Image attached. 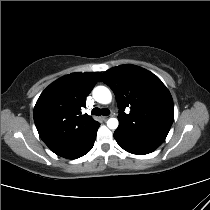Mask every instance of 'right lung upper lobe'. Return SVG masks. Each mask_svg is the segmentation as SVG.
<instances>
[{"instance_id": "right-lung-upper-lobe-1", "label": "right lung upper lobe", "mask_w": 210, "mask_h": 210, "mask_svg": "<svg viewBox=\"0 0 210 210\" xmlns=\"http://www.w3.org/2000/svg\"><path fill=\"white\" fill-rule=\"evenodd\" d=\"M100 73H72L51 83L34 107V122L44 143L57 155L89 137L100 125L80 116Z\"/></svg>"}]
</instances>
